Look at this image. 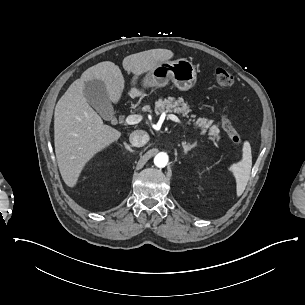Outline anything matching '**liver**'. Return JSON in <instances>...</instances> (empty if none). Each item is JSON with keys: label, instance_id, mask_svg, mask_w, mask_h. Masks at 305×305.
<instances>
[{"label": "liver", "instance_id": "obj_1", "mask_svg": "<svg viewBox=\"0 0 305 305\" xmlns=\"http://www.w3.org/2000/svg\"><path fill=\"white\" fill-rule=\"evenodd\" d=\"M174 57L175 54L167 49H152L125 57L122 67L132 75L130 97L140 95L138 85L143 75ZM94 80L105 84L109 100L114 105H119L125 88L118 66L104 61L85 70L59 100L55 112V153L62 179L70 188L77 187L87 164L122 136L121 131L104 125L84 97L85 83Z\"/></svg>", "mask_w": 305, "mask_h": 305}]
</instances>
